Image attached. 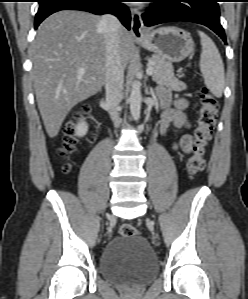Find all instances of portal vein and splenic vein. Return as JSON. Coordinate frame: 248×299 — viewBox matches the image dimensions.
Returning a JSON list of instances; mask_svg holds the SVG:
<instances>
[{
	"instance_id": "18ae733b",
	"label": "portal vein and splenic vein",
	"mask_w": 248,
	"mask_h": 299,
	"mask_svg": "<svg viewBox=\"0 0 248 299\" xmlns=\"http://www.w3.org/2000/svg\"><path fill=\"white\" fill-rule=\"evenodd\" d=\"M79 72H80L81 74H83V73H84V69H80ZM153 72H154V69H153L151 66H149V67L147 68V70H146L147 75H152Z\"/></svg>"
}]
</instances>
